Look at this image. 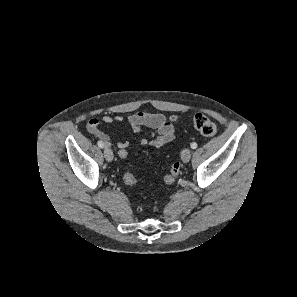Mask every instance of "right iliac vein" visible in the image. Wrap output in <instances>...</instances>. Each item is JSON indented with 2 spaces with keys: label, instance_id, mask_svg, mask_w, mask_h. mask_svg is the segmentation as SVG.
I'll return each mask as SVG.
<instances>
[{
  "label": "right iliac vein",
  "instance_id": "1",
  "mask_svg": "<svg viewBox=\"0 0 297 297\" xmlns=\"http://www.w3.org/2000/svg\"><path fill=\"white\" fill-rule=\"evenodd\" d=\"M104 157L108 162H111L113 159V152L109 147L104 148Z\"/></svg>",
  "mask_w": 297,
  "mask_h": 297
}]
</instances>
